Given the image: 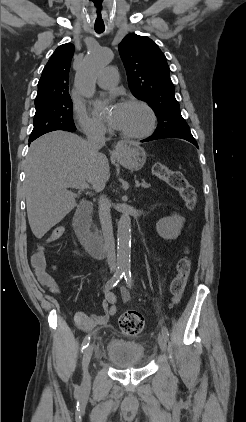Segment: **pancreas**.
Wrapping results in <instances>:
<instances>
[{
	"mask_svg": "<svg viewBox=\"0 0 246 422\" xmlns=\"http://www.w3.org/2000/svg\"><path fill=\"white\" fill-rule=\"evenodd\" d=\"M142 187H143V188H149V187H150V184H147V183L143 182V183H142Z\"/></svg>",
	"mask_w": 246,
	"mask_h": 422,
	"instance_id": "cf45deb5",
	"label": "pancreas"
}]
</instances>
